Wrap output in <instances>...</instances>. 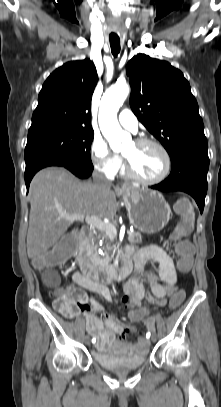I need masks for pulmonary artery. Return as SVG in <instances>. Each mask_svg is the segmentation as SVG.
I'll return each instance as SVG.
<instances>
[{
  "mask_svg": "<svg viewBox=\"0 0 221 407\" xmlns=\"http://www.w3.org/2000/svg\"><path fill=\"white\" fill-rule=\"evenodd\" d=\"M119 123L124 128L136 132L138 128V121L133 112L129 109H124L120 112L118 117Z\"/></svg>",
  "mask_w": 221,
  "mask_h": 407,
  "instance_id": "obj_1",
  "label": "pulmonary artery"
}]
</instances>
